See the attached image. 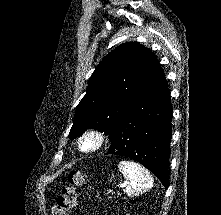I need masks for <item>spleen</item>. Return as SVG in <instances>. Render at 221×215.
Listing matches in <instances>:
<instances>
[{"instance_id": "1", "label": "spleen", "mask_w": 221, "mask_h": 215, "mask_svg": "<svg viewBox=\"0 0 221 215\" xmlns=\"http://www.w3.org/2000/svg\"><path fill=\"white\" fill-rule=\"evenodd\" d=\"M118 168L123 176L129 180V185L125 190L129 196L139 195L153 186L154 180L152 176L140 164L123 160L119 162Z\"/></svg>"}]
</instances>
